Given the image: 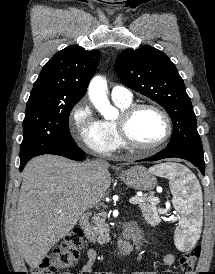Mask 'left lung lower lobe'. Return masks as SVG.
I'll return each instance as SVG.
<instances>
[{
    "instance_id": "obj_1",
    "label": "left lung lower lobe",
    "mask_w": 215,
    "mask_h": 274,
    "mask_svg": "<svg viewBox=\"0 0 215 274\" xmlns=\"http://www.w3.org/2000/svg\"><path fill=\"white\" fill-rule=\"evenodd\" d=\"M171 157L185 159L191 162L192 164H194L196 167H198L202 175L205 174V163H204L203 151L201 152V151H194V150H188V149L167 147L161 152H158L157 154L149 158L143 159L142 161H156V160L171 158Z\"/></svg>"
}]
</instances>
